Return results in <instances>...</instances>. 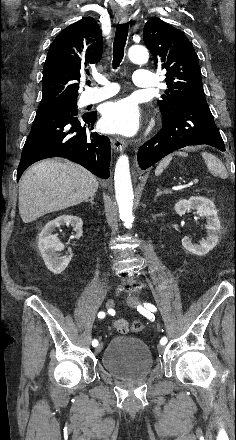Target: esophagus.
I'll use <instances>...</instances> for the list:
<instances>
[{
    "label": "esophagus",
    "mask_w": 236,
    "mask_h": 440,
    "mask_svg": "<svg viewBox=\"0 0 236 440\" xmlns=\"http://www.w3.org/2000/svg\"><path fill=\"white\" fill-rule=\"evenodd\" d=\"M118 19H119L120 23H122V24L126 23L129 20V16H128L126 9L119 10ZM112 146L117 152H121L126 147V143L123 139L114 138V139H112Z\"/></svg>",
    "instance_id": "1"
}]
</instances>
